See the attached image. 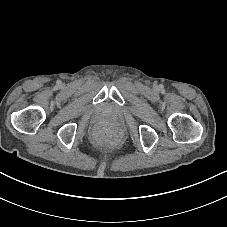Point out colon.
<instances>
[{"instance_id":"colon-1","label":"colon","mask_w":227,"mask_h":227,"mask_svg":"<svg viewBox=\"0 0 227 227\" xmlns=\"http://www.w3.org/2000/svg\"><path fill=\"white\" fill-rule=\"evenodd\" d=\"M121 138L119 127L110 123H103L99 133L96 135V141L101 145H112Z\"/></svg>"}]
</instances>
